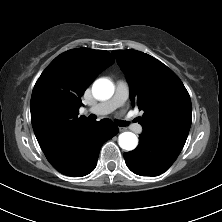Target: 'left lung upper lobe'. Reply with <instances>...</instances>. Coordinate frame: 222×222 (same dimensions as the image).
<instances>
[{
    "instance_id": "1",
    "label": "left lung upper lobe",
    "mask_w": 222,
    "mask_h": 222,
    "mask_svg": "<svg viewBox=\"0 0 222 222\" xmlns=\"http://www.w3.org/2000/svg\"><path fill=\"white\" fill-rule=\"evenodd\" d=\"M130 85V99L144 114L141 136H154L179 155L188 136L192 105L178 76L154 57L136 50L112 51Z\"/></svg>"
}]
</instances>
